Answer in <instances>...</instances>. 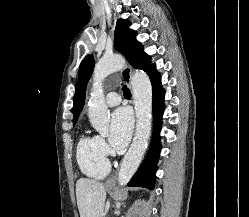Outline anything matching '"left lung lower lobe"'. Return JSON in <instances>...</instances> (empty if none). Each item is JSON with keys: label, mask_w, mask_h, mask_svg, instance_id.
Here are the masks:
<instances>
[{"label": "left lung lower lobe", "mask_w": 249, "mask_h": 217, "mask_svg": "<svg viewBox=\"0 0 249 217\" xmlns=\"http://www.w3.org/2000/svg\"><path fill=\"white\" fill-rule=\"evenodd\" d=\"M152 83L153 90V117H154V128L153 137L150 150L136 174L128 183L131 187H145L150 190L154 189L155 184V172L156 165L158 162L160 147V137L159 133L161 130V117L164 110V91L161 86V77L155 66L147 72Z\"/></svg>", "instance_id": "obj_1"}]
</instances>
